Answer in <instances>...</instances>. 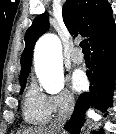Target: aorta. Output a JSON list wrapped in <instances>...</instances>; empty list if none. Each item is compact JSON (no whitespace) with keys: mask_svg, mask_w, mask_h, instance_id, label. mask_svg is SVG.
<instances>
[{"mask_svg":"<svg viewBox=\"0 0 116 134\" xmlns=\"http://www.w3.org/2000/svg\"><path fill=\"white\" fill-rule=\"evenodd\" d=\"M34 64L37 77L48 93L57 94L64 88L62 45L55 34H46L38 40Z\"/></svg>","mask_w":116,"mask_h":134,"instance_id":"762f6f07","label":"aorta"}]
</instances>
